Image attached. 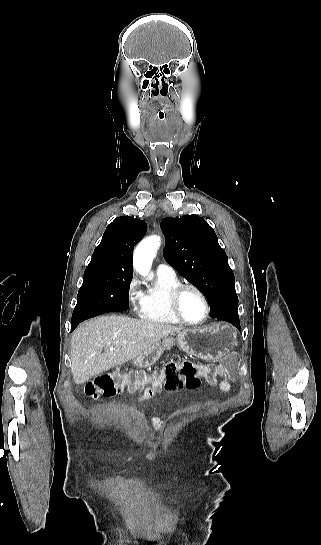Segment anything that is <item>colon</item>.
<instances>
[{"instance_id": "colon-1", "label": "colon", "mask_w": 321, "mask_h": 545, "mask_svg": "<svg viewBox=\"0 0 321 545\" xmlns=\"http://www.w3.org/2000/svg\"><path fill=\"white\" fill-rule=\"evenodd\" d=\"M238 365V358L230 355L222 360L218 367L211 365H198L192 361H183L181 365H168L164 370L163 386L169 391H178L182 388L195 389L204 378L211 384H215L222 376L225 381L235 378V370ZM147 378L142 373L120 375L116 373H104L95 377L85 386V394L92 399L101 397H112L125 388L130 391L143 388ZM154 389L159 390L162 384L153 381Z\"/></svg>"}]
</instances>
